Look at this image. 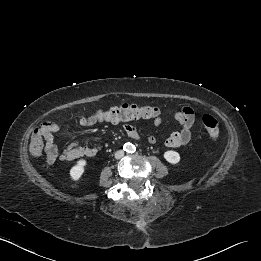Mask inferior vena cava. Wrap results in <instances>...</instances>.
Masks as SVG:
<instances>
[{
	"label": "inferior vena cava",
	"instance_id": "602c4592",
	"mask_svg": "<svg viewBox=\"0 0 261 261\" xmlns=\"http://www.w3.org/2000/svg\"><path fill=\"white\" fill-rule=\"evenodd\" d=\"M124 156V151L123 150H118L115 152V158L116 159H121Z\"/></svg>",
	"mask_w": 261,
	"mask_h": 261
}]
</instances>
